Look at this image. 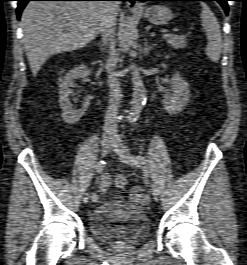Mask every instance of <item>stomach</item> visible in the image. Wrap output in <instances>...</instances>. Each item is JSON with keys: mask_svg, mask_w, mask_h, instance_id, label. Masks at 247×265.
<instances>
[{"mask_svg": "<svg viewBox=\"0 0 247 265\" xmlns=\"http://www.w3.org/2000/svg\"><path fill=\"white\" fill-rule=\"evenodd\" d=\"M137 13L155 25H164L173 17V13L170 8L164 5H152L145 9V11Z\"/></svg>", "mask_w": 247, "mask_h": 265, "instance_id": "1", "label": "stomach"}]
</instances>
